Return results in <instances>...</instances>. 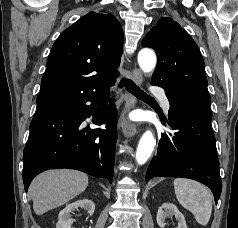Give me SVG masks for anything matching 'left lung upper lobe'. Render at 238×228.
Segmentation results:
<instances>
[{"label":"left lung upper lobe","mask_w":238,"mask_h":228,"mask_svg":"<svg viewBox=\"0 0 238 228\" xmlns=\"http://www.w3.org/2000/svg\"><path fill=\"white\" fill-rule=\"evenodd\" d=\"M142 45L157 53L153 85L211 112L204 60L194 40L177 22L172 18H161L143 39Z\"/></svg>","instance_id":"obj_1"}]
</instances>
